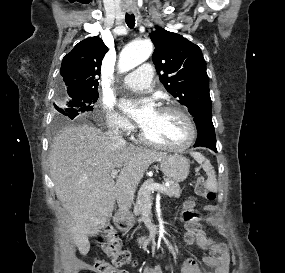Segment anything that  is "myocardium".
I'll return each instance as SVG.
<instances>
[{
    "instance_id": "f54148a6",
    "label": "myocardium",
    "mask_w": 285,
    "mask_h": 273,
    "mask_svg": "<svg viewBox=\"0 0 285 273\" xmlns=\"http://www.w3.org/2000/svg\"><path fill=\"white\" fill-rule=\"evenodd\" d=\"M158 110L175 112L183 118V120L185 121L187 125V130H188V135L186 139L179 144H163V143L155 142L151 140L150 138H148L144 130L141 129L139 133L140 140L144 144L151 146L153 148L168 150V151L179 152V151L186 150L187 148L192 146L197 138V126L191 114L184 107L178 104H166V105L161 106Z\"/></svg>"
}]
</instances>
